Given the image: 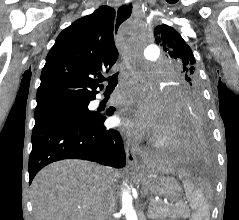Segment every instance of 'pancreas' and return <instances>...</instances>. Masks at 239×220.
Wrapping results in <instances>:
<instances>
[{"mask_svg": "<svg viewBox=\"0 0 239 220\" xmlns=\"http://www.w3.org/2000/svg\"><path fill=\"white\" fill-rule=\"evenodd\" d=\"M188 208L179 204L177 206H168L165 205L162 201H155L148 208L147 217L152 220H166L169 219H177V218H187Z\"/></svg>", "mask_w": 239, "mask_h": 220, "instance_id": "obj_1", "label": "pancreas"}]
</instances>
